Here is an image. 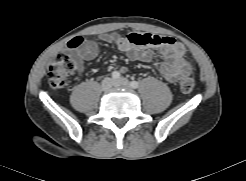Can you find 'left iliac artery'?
<instances>
[{
    "label": "left iliac artery",
    "mask_w": 246,
    "mask_h": 181,
    "mask_svg": "<svg viewBox=\"0 0 246 181\" xmlns=\"http://www.w3.org/2000/svg\"><path fill=\"white\" fill-rule=\"evenodd\" d=\"M130 86H131L132 88L136 89V88L139 87V83H138L137 81H132V82L130 83Z\"/></svg>",
    "instance_id": "44dca946"
}]
</instances>
